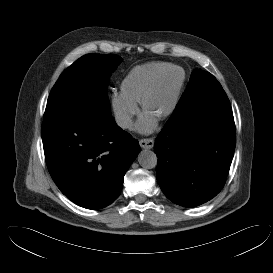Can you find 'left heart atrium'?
<instances>
[{
    "label": "left heart atrium",
    "mask_w": 273,
    "mask_h": 273,
    "mask_svg": "<svg viewBox=\"0 0 273 273\" xmlns=\"http://www.w3.org/2000/svg\"><path fill=\"white\" fill-rule=\"evenodd\" d=\"M156 127V119L154 116L144 112L141 121L138 124V128L144 133L152 132Z\"/></svg>",
    "instance_id": "obj_1"
}]
</instances>
